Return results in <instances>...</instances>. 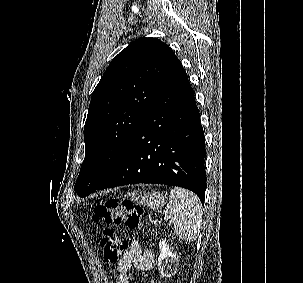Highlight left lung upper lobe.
Segmentation results:
<instances>
[{
  "label": "left lung upper lobe",
  "instance_id": "1",
  "mask_svg": "<svg viewBox=\"0 0 303 283\" xmlns=\"http://www.w3.org/2000/svg\"><path fill=\"white\" fill-rule=\"evenodd\" d=\"M176 59L167 44L143 37L111 61L92 93L77 194L98 188L112 176Z\"/></svg>",
  "mask_w": 303,
  "mask_h": 283
}]
</instances>
